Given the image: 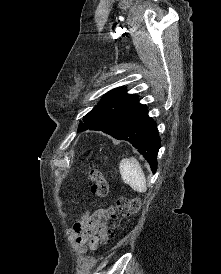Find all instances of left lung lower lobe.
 I'll list each match as a JSON object with an SVG mask.
<instances>
[{
  "mask_svg": "<svg viewBox=\"0 0 221 274\" xmlns=\"http://www.w3.org/2000/svg\"><path fill=\"white\" fill-rule=\"evenodd\" d=\"M93 123L85 130L103 131L119 140L129 141L150 164L157 169V153L161 145L156 123L148 116L138 97L120 99L93 109Z\"/></svg>",
  "mask_w": 221,
  "mask_h": 274,
  "instance_id": "1",
  "label": "left lung lower lobe"
}]
</instances>
